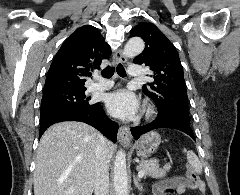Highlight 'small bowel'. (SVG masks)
<instances>
[{
	"instance_id": "obj_1",
	"label": "small bowel",
	"mask_w": 240,
	"mask_h": 195,
	"mask_svg": "<svg viewBox=\"0 0 240 195\" xmlns=\"http://www.w3.org/2000/svg\"><path fill=\"white\" fill-rule=\"evenodd\" d=\"M189 177H171L157 182L153 187V195H183L190 190H197L200 195L205 194V186H193Z\"/></svg>"
}]
</instances>
